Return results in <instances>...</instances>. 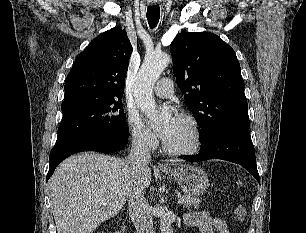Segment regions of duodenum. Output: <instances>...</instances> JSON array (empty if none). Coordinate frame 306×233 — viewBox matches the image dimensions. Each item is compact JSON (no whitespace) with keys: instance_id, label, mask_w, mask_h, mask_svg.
I'll list each match as a JSON object with an SVG mask.
<instances>
[{"instance_id":"1","label":"duodenum","mask_w":306,"mask_h":233,"mask_svg":"<svg viewBox=\"0 0 306 233\" xmlns=\"http://www.w3.org/2000/svg\"><path fill=\"white\" fill-rule=\"evenodd\" d=\"M122 233H126V228H125V226H122Z\"/></svg>"}]
</instances>
